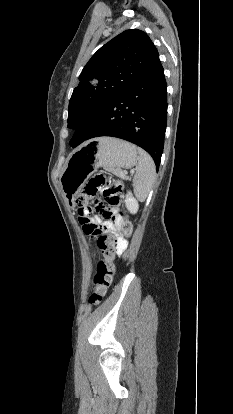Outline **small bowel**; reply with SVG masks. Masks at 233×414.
<instances>
[{
    "label": "small bowel",
    "mask_w": 233,
    "mask_h": 414,
    "mask_svg": "<svg viewBox=\"0 0 233 414\" xmlns=\"http://www.w3.org/2000/svg\"><path fill=\"white\" fill-rule=\"evenodd\" d=\"M85 209L90 213L89 208L86 207ZM88 223L94 225L95 227L101 226L104 230L114 234L118 241L119 250L123 251L125 249L126 241L122 236L123 220L117 213L116 209L110 210V215L105 221H102V219L97 215L88 216Z\"/></svg>",
    "instance_id": "obj_1"
}]
</instances>
